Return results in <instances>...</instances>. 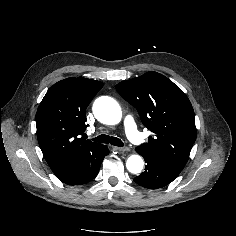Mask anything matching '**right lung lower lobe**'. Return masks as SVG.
<instances>
[{
	"instance_id": "98d812e1",
	"label": "right lung lower lobe",
	"mask_w": 236,
	"mask_h": 236,
	"mask_svg": "<svg viewBox=\"0 0 236 236\" xmlns=\"http://www.w3.org/2000/svg\"><path fill=\"white\" fill-rule=\"evenodd\" d=\"M109 154L107 146H102L92 154L80 156L72 162L69 169L62 175L57 176L60 181L67 185H83L94 179L100 165L106 155Z\"/></svg>"
}]
</instances>
